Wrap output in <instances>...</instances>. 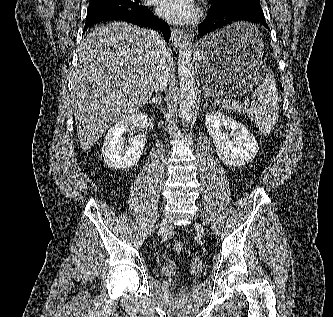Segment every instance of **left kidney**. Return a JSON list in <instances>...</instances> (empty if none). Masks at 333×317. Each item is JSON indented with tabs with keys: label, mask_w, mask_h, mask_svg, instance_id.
<instances>
[{
	"label": "left kidney",
	"mask_w": 333,
	"mask_h": 317,
	"mask_svg": "<svg viewBox=\"0 0 333 317\" xmlns=\"http://www.w3.org/2000/svg\"><path fill=\"white\" fill-rule=\"evenodd\" d=\"M205 124L215 144L216 153L224 164L242 166L257 155L259 146L253 134L227 114L220 111L209 112L206 114ZM230 136H233L232 140Z\"/></svg>",
	"instance_id": "left-kidney-1"
}]
</instances>
